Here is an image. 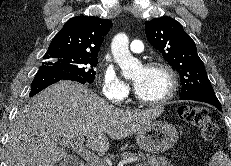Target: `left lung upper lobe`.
Here are the masks:
<instances>
[{
  "instance_id": "5c2ea615",
  "label": "left lung upper lobe",
  "mask_w": 231,
  "mask_h": 166,
  "mask_svg": "<svg viewBox=\"0 0 231 166\" xmlns=\"http://www.w3.org/2000/svg\"><path fill=\"white\" fill-rule=\"evenodd\" d=\"M145 28L150 44L179 73L182 84L180 97L214 93L195 42L179 22L171 17H161L146 21Z\"/></svg>"
}]
</instances>
